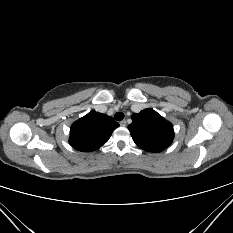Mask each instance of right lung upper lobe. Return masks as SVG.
<instances>
[{"instance_id":"obj_1","label":"right lung upper lobe","mask_w":233,"mask_h":233,"mask_svg":"<svg viewBox=\"0 0 233 233\" xmlns=\"http://www.w3.org/2000/svg\"><path fill=\"white\" fill-rule=\"evenodd\" d=\"M117 127L112 117L90 111L72 124L69 143L79 151L91 152L105 144Z\"/></svg>"}]
</instances>
